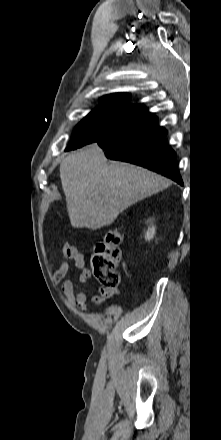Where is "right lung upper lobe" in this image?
<instances>
[{
  "label": "right lung upper lobe",
  "instance_id": "1",
  "mask_svg": "<svg viewBox=\"0 0 221 440\" xmlns=\"http://www.w3.org/2000/svg\"><path fill=\"white\" fill-rule=\"evenodd\" d=\"M128 100L129 95L125 93H114L101 98L102 103L112 104L119 110H130L137 113L145 108L141 105H131Z\"/></svg>",
  "mask_w": 221,
  "mask_h": 440
}]
</instances>
